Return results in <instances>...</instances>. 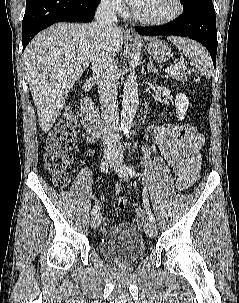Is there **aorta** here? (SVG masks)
<instances>
[{
    "label": "aorta",
    "mask_w": 239,
    "mask_h": 303,
    "mask_svg": "<svg viewBox=\"0 0 239 303\" xmlns=\"http://www.w3.org/2000/svg\"><path fill=\"white\" fill-rule=\"evenodd\" d=\"M123 92L120 124L121 128L126 133L132 126L139 105L138 82L134 69H130V74L124 82Z\"/></svg>",
    "instance_id": "aorta-1"
}]
</instances>
